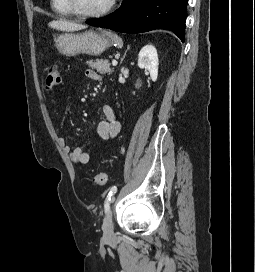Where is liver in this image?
Returning <instances> with one entry per match:
<instances>
[{"label":"liver","mask_w":255,"mask_h":272,"mask_svg":"<svg viewBox=\"0 0 255 272\" xmlns=\"http://www.w3.org/2000/svg\"><path fill=\"white\" fill-rule=\"evenodd\" d=\"M49 26L53 29L66 32L78 31L86 28L85 25L73 23L63 19L51 21Z\"/></svg>","instance_id":"obj_1"}]
</instances>
